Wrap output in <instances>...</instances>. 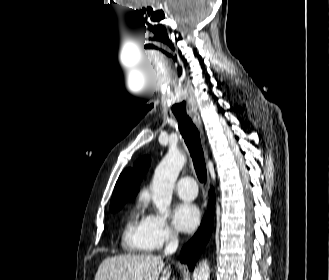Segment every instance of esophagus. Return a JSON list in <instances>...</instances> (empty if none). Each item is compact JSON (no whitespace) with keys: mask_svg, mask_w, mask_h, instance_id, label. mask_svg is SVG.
Masks as SVG:
<instances>
[{"mask_svg":"<svg viewBox=\"0 0 329 280\" xmlns=\"http://www.w3.org/2000/svg\"><path fill=\"white\" fill-rule=\"evenodd\" d=\"M189 115L192 118L195 125L197 126V128L200 130V132L203 133L202 121H201L199 113L194 111V112H190ZM206 158H208V153H206Z\"/></svg>","mask_w":329,"mask_h":280,"instance_id":"34e87169","label":"esophagus"}]
</instances>
